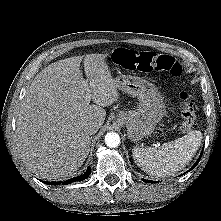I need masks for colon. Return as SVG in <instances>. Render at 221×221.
<instances>
[{
  "label": "colon",
  "mask_w": 221,
  "mask_h": 221,
  "mask_svg": "<svg viewBox=\"0 0 221 221\" xmlns=\"http://www.w3.org/2000/svg\"><path fill=\"white\" fill-rule=\"evenodd\" d=\"M114 61L128 70H138L141 72L167 71L174 76H178L181 68L175 59L166 54H157L144 51L137 52L126 48H118L113 53ZM181 116L183 119L182 129L191 131L197 125V116L194 104L187 93L181 94Z\"/></svg>",
  "instance_id": "colon-1"
}]
</instances>
